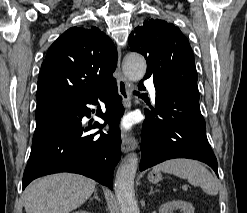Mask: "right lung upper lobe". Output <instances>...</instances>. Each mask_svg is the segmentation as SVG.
<instances>
[{
    "instance_id": "obj_1",
    "label": "right lung upper lobe",
    "mask_w": 247,
    "mask_h": 213,
    "mask_svg": "<svg viewBox=\"0 0 247 213\" xmlns=\"http://www.w3.org/2000/svg\"><path fill=\"white\" fill-rule=\"evenodd\" d=\"M117 50L100 29L72 27L48 49L36 93L37 106L62 95H91L115 81Z\"/></svg>"
}]
</instances>
